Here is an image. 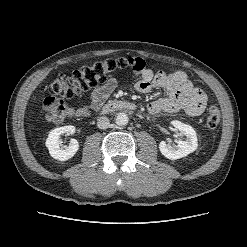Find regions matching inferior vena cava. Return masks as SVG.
Returning <instances> with one entry per match:
<instances>
[{"mask_svg":"<svg viewBox=\"0 0 247 247\" xmlns=\"http://www.w3.org/2000/svg\"><path fill=\"white\" fill-rule=\"evenodd\" d=\"M110 125L109 119L105 116L99 117L97 119V126L99 129H106Z\"/></svg>","mask_w":247,"mask_h":247,"instance_id":"inferior-vena-cava-1","label":"inferior vena cava"}]
</instances>
